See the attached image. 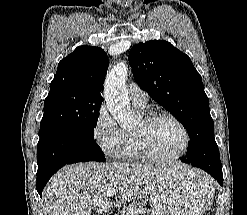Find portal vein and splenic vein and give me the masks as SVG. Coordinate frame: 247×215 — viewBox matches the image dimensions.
<instances>
[{
  "label": "portal vein and splenic vein",
  "mask_w": 247,
  "mask_h": 215,
  "mask_svg": "<svg viewBox=\"0 0 247 215\" xmlns=\"http://www.w3.org/2000/svg\"><path fill=\"white\" fill-rule=\"evenodd\" d=\"M106 194H107L108 197H112V196H114L116 194V191L113 190V189H110V190H108L106 192Z\"/></svg>",
  "instance_id": "18ae733b"
}]
</instances>
